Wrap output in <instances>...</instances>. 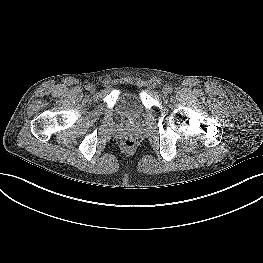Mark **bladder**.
Instances as JSON below:
<instances>
[{"label":"bladder","mask_w":263,"mask_h":263,"mask_svg":"<svg viewBox=\"0 0 263 263\" xmlns=\"http://www.w3.org/2000/svg\"><path fill=\"white\" fill-rule=\"evenodd\" d=\"M116 113L127 120H139L142 117L143 108L137 95L130 93L121 95Z\"/></svg>","instance_id":"31cf9c89"}]
</instances>
